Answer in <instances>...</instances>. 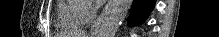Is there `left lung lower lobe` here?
<instances>
[{
  "label": "left lung lower lobe",
  "instance_id": "0a47b994",
  "mask_svg": "<svg viewBox=\"0 0 219 37\" xmlns=\"http://www.w3.org/2000/svg\"><path fill=\"white\" fill-rule=\"evenodd\" d=\"M155 0H133L132 12L129 25L140 24L148 17L154 8Z\"/></svg>",
  "mask_w": 219,
  "mask_h": 37
}]
</instances>
